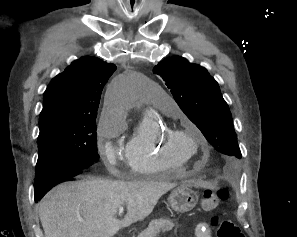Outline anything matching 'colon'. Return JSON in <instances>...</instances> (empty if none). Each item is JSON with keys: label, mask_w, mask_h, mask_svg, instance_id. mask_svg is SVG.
Wrapping results in <instances>:
<instances>
[{"label": "colon", "mask_w": 297, "mask_h": 237, "mask_svg": "<svg viewBox=\"0 0 297 237\" xmlns=\"http://www.w3.org/2000/svg\"><path fill=\"white\" fill-rule=\"evenodd\" d=\"M228 196L229 192L226 188H219L216 191L206 190L201 200L202 208L205 211H212L220 201L226 200ZM211 225L216 229L218 237H244L240 228L231 220L213 217Z\"/></svg>", "instance_id": "1"}]
</instances>
